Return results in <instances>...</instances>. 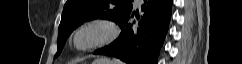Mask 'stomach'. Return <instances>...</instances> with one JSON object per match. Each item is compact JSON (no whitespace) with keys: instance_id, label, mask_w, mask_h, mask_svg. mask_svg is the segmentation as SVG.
Returning a JSON list of instances; mask_svg holds the SVG:
<instances>
[{"instance_id":"stomach-1","label":"stomach","mask_w":242,"mask_h":64,"mask_svg":"<svg viewBox=\"0 0 242 64\" xmlns=\"http://www.w3.org/2000/svg\"><path fill=\"white\" fill-rule=\"evenodd\" d=\"M92 64H112L110 61H108L105 58L97 59Z\"/></svg>"}]
</instances>
